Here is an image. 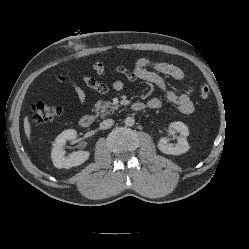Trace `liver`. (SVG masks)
Returning <instances> with one entry per match:
<instances>
[{
	"instance_id": "obj_1",
	"label": "liver",
	"mask_w": 249,
	"mask_h": 249,
	"mask_svg": "<svg viewBox=\"0 0 249 249\" xmlns=\"http://www.w3.org/2000/svg\"><path fill=\"white\" fill-rule=\"evenodd\" d=\"M24 130L27 138L30 140V135H31V127H30V122L28 116L24 118Z\"/></svg>"
}]
</instances>
